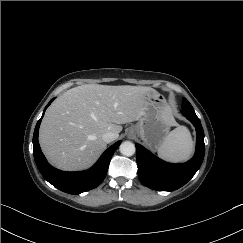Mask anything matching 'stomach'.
Here are the masks:
<instances>
[{"label":"stomach","mask_w":243,"mask_h":243,"mask_svg":"<svg viewBox=\"0 0 243 243\" xmlns=\"http://www.w3.org/2000/svg\"><path fill=\"white\" fill-rule=\"evenodd\" d=\"M173 124L165 97L151 89L146 96V105L137 123L130 127L150 149H158Z\"/></svg>","instance_id":"1"}]
</instances>
